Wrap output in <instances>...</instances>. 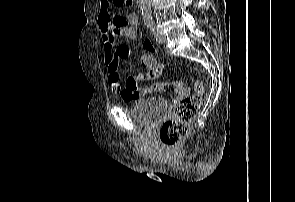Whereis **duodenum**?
<instances>
[{
    "label": "duodenum",
    "instance_id": "410a0bca",
    "mask_svg": "<svg viewBox=\"0 0 295 202\" xmlns=\"http://www.w3.org/2000/svg\"><path fill=\"white\" fill-rule=\"evenodd\" d=\"M139 3H142V0H137Z\"/></svg>",
    "mask_w": 295,
    "mask_h": 202
}]
</instances>
